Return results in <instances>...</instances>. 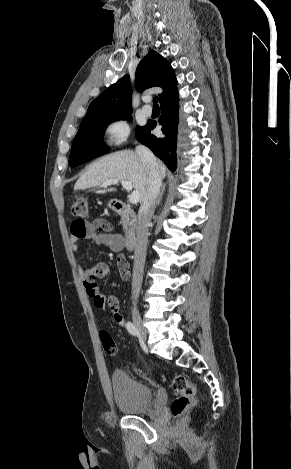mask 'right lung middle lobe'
I'll list each match as a JSON object with an SVG mask.
<instances>
[{
  "label": "right lung middle lobe",
  "mask_w": 291,
  "mask_h": 469,
  "mask_svg": "<svg viewBox=\"0 0 291 469\" xmlns=\"http://www.w3.org/2000/svg\"><path fill=\"white\" fill-rule=\"evenodd\" d=\"M130 113L82 121L79 131L74 138L69 165L78 166L108 151L103 143V135L107 126L120 119H130ZM141 127H137L136 130Z\"/></svg>",
  "instance_id": "right-lung-middle-lobe-1"
}]
</instances>
